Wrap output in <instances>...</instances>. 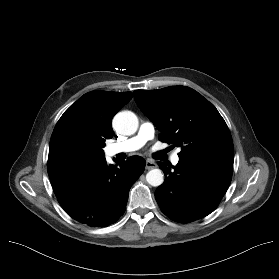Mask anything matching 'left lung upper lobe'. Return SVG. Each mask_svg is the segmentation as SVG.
<instances>
[{
  "mask_svg": "<svg viewBox=\"0 0 279 279\" xmlns=\"http://www.w3.org/2000/svg\"><path fill=\"white\" fill-rule=\"evenodd\" d=\"M134 99L161 131L159 139L181 147L179 156L234 160V146L224 119L197 91L186 86L136 90Z\"/></svg>",
  "mask_w": 279,
  "mask_h": 279,
  "instance_id": "5c2ea615",
  "label": "left lung upper lobe"
}]
</instances>
